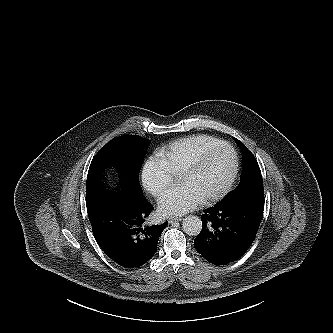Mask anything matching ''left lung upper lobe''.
<instances>
[{
	"label": "left lung upper lobe",
	"mask_w": 333,
	"mask_h": 333,
	"mask_svg": "<svg viewBox=\"0 0 333 333\" xmlns=\"http://www.w3.org/2000/svg\"><path fill=\"white\" fill-rule=\"evenodd\" d=\"M234 140L243 152L244 162L239 185L230 194L253 186H263L261 171L255 157L241 141L236 138Z\"/></svg>",
	"instance_id": "obj_1"
}]
</instances>
